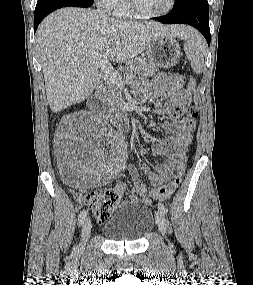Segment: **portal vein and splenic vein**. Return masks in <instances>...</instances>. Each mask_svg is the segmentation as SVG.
I'll return each instance as SVG.
<instances>
[{
	"label": "portal vein and splenic vein",
	"instance_id": "1",
	"mask_svg": "<svg viewBox=\"0 0 253 285\" xmlns=\"http://www.w3.org/2000/svg\"><path fill=\"white\" fill-rule=\"evenodd\" d=\"M95 59L97 60L98 65L101 67L104 75L114 84H123L131 82L135 78L134 73H128L125 77V80L122 78L121 74L113 69L110 65L107 57H102L101 55H96Z\"/></svg>",
	"mask_w": 253,
	"mask_h": 285
}]
</instances>
